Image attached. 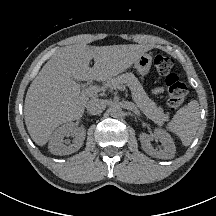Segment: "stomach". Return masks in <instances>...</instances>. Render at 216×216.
<instances>
[{
    "mask_svg": "<svg viewBox=\"0 0 216 216\" xmlns=\"http://www.w3.org/2000/svg\"><path fill=\"white\" fill-rule=\"evenodd\" d=\"M152 65V56L150 54H142L138 60L134 63V68L142 75L148 74Z\"/></svg>",
    "mask_w": 216,
    "mask_h": 216,
    "instance_id": "obj_1",
    "label": "stomach"
}]
</instances>
